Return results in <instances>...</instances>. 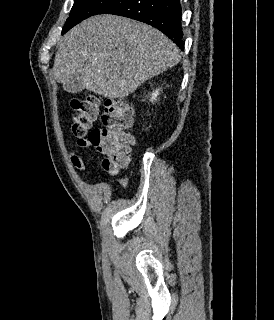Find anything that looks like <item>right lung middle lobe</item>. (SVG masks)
<instances>
[{
  "label": "right lung middle lobe",
  "instance_id": "1",
  "mask_svg": "<svg viewBox=\"0 0 274 320\" xmlns=\"http://www.w3.org/2000/svg\"><path fill=\"white\" fill-rule=\"evenodd\" d=\"M117 0H74L69 18L67 19L62 34L66 33L73 26L82 20L100 14L104 9L115 3Z\"/></svg>",
  "mask_w": 274,
  "mask_h": 320
}]
</instances>
